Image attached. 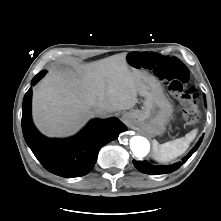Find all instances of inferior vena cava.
Returning a JSON list of instances; mask_svg holds the SVG:
<instances>
[{
  "instance_id": "602c4592",
  "label": "inferior vena cava",
  "mask_w": 221,
  "mask_h": 221,
  "mask_svg": "<svg viewBox=\"0 0 221 221\" xmlns=\"http://www.w3.org/2000/svg\"><path fill=\"white\" fill-rule=\"evenodd\" d=\"M94 113H95V115H97L99 117H102V118H105L108 115V113L105 110H103V109H96L94 111Z\"/></svg>"
}]
</instances>
